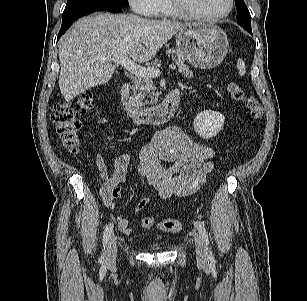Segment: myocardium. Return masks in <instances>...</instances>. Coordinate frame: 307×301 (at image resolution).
<instances>
[{"mask_svg": "<svg viewBox=\"0 0 307 301\" xmlns=\"http://www.w3.org/2000/svg\"><path fill=\"white\" fill-rule=\"evenodd\" d=\"M167 7L177 16L197 21H216L231 14L235 6V0H229L228 9L216 15H204L196 13L188 8L184 0H165Z\"/></svg>", "mask_w": 307, "mask_h": 301, "instance_id": "f54148a6", "label": "myocardium"}]
</instances>
